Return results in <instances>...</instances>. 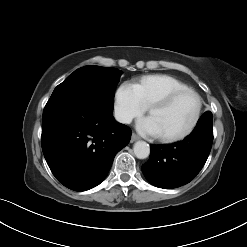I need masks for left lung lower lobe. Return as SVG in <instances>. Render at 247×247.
I'll list each match as a JSON object with an SVG mask.
<instances>
[{
	"label": "left lung lower lobe",
	"mask_w": 247,
	"mask_h": 247,
	"mask_svg": "<svg viewBox=\"0 0 247 247\" xmlns=\"http://www.w3.org/2000/svg\"><path fill=\"white\" fill-rule=\"evenodd\" d=\"M213 142L212 113L205 112L183 141L151 145L150 158L142 171L153 185L171 189L189 183L204 166Z\"/></svg>",
	"instance_id": "obj_1"
}]
</instances>
